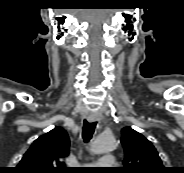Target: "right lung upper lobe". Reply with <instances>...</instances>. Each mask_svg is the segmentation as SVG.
Segmentation results:
<instances>
[{
    "label": "right lung upper lobe",
    "mask_w": 184,
    "mask_h": 173,
    "mask_svg": "<svg viewBox=\"0 0 184 173\" xmlns=\"http://www.w3.org/2000/svg\"><path fill=\"white\" fill-rule=\"evenodd\" d=\"M67 132L56 127L36 139L16 167L17 173H67L63 159L69 154Z\"/></svg>",
    "instance_id": "cb5924a9"
}]
</instances>
